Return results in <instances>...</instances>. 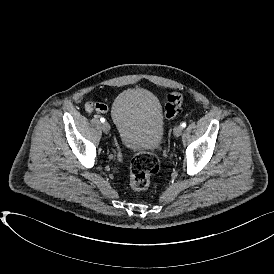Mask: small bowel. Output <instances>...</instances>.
I'll list each match as a JSON object with an SVG mask.
<instances>
[{
	"mask_svg": "<svg viewBox=\"0 0 274 274\" xmlns=\"http://www.w3.org/2000/svg\"><path fill=\"white\" fill-rule=\"evenodd\" d=\"M88 103H89V102H88ZM88 103L85 104V110H86L87 113H91V111L87 110V108H86V105H87ZM98 104H99V106H100V109L97 110L98 112H102V113L107 112L108 107H107L105 104H103V103H98Z\"/></svg>",
	"mask_w": 274,
	"mask_h": 274,
	"instance_id": "c3829d8e",
	"label": "small bowel"
}]
</instances>
